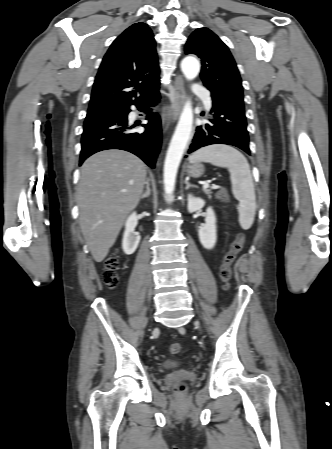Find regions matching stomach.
Segmentation results:
<instances>
[{"instance_id": "stomach-1", "label": "stomach", "mask_w": 332, "mask_h": 449, "mask_svg": "<svg viewBox=\"0 0 332 449\" xmlns=\"http://www.w3.org/2000/svg\"><path fill=\"white\" fill-rule=\"evenodd\" d=\"M186 172L189 176L198 178L203 175L204 167L202 164L195 162L187 166Z\"/></svg>"}]
</instances>
